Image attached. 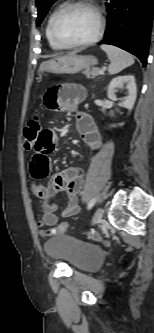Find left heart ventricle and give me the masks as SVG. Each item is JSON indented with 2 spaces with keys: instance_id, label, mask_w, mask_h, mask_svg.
<instances>
[{
  "instance_id": "1",
  "label": "left heart ventricle",
  "mask_w": 154,
  "mask_h": 333,
  "mask_svg": "<svg viewBox=\"0 0 154 333\" xmlns=\"http://www.w3.org/2000/svg\"><path fill=\"white\" fill-rule=\"evenodd\" d=\"M96 29V14L86 7H76L67 11L57 26L59 36L69 43L90 39L95 34Z\"/></svg>"
}]
</instances>
